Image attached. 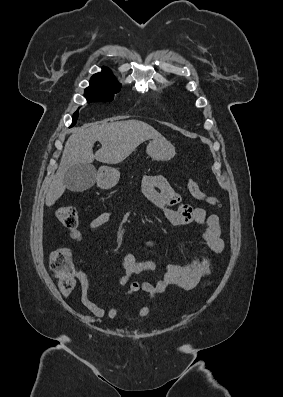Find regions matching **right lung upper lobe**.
<instances>
[{"mask_svg":"<svg viewBox=\"0 0 283 397\" xmlns=\"http://www.w3.org/2000/svg\"><path fill=\"white\" fill-rule=\"evenodd\" d=\"M90 81H116L111 70L102 68V72L92 76Z\"/></svg>","mask_w":283,"mask_h":397,"instance_id":"obj_1","label":"right lung upper lobe"}]
</instances>
